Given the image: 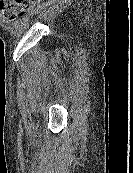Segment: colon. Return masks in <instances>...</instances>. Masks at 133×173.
Returning <instances> with one entry per match:
<instances>
[{"label": "colon", "instance_id": "5ec220e1", "mask_svg": "<svg viewBox=\"0 0 133 173\" xmlns=\"http://www.w3.org/2000/svg\"><path fill=\"white\" fill-rule=\"evenodd\" d=\"M33 0H0V14L9 19L26 13Z\"/></svg>", "mask_w": 133, "mask_h": 173}]
</instances>
